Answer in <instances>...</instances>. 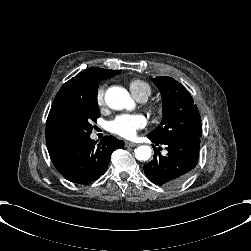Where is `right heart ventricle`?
Segmentation results:
<instances>
[{"instance_id": "e07e8e85", "label": "right heart ventricle", "mask_w": 251, "mask_h": 251, "mask_svg": "<svg viewBox=\"0 0 251 251\" xmlns=\"http://www.w3.org/2000/svg\"><path fill=\"white\" fill-rule=\"evenodd\" d=\"M128 86L133 96L139 101H145L152 95L151 85L143 79L133 77L129 79Z\"/></svg>"}]
</instances>
